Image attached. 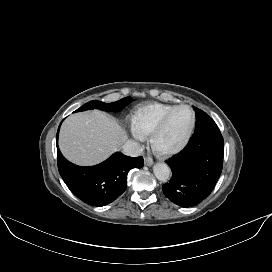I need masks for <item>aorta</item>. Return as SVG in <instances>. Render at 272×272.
I'll return each mask as SVG.
<instances>
[{"label":"aorta","instance_id":"762f6f07","mask_svg":"<svg viewBox=\"0 0 272 272\" xmlns=\"http://www.w3.org/2000/svg\"><path fill=\"white\" fill-rule=\"evenodd\" d=\"M155 177L160 181H167L171 176V169L164 163H157L153 167Z\"/></svg>","mask_w":272,"mask_h":272}]
</instances>
